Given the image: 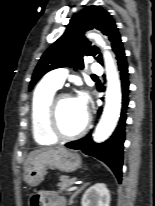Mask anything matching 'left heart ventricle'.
Listing matches in <instances>:
<instances>
[{
  "label": "left heart ventricle",
  "instance_id": "1",
  "mask_svg": "<svg viewBox=\"0 0 155 206\" xmlns=\"http://www.w3.org/2000/svg\"><path fill=\"white\" fill-rule=\"evenodd\" d=\"M86 113L81 110L75 98L62 99L58 104V125L62 132L71 134L84 124Z\"/></svg>",
  "mask_w": 155,
  "mask_h": 206
}]
</instances>
